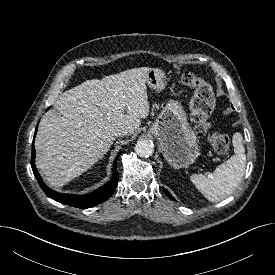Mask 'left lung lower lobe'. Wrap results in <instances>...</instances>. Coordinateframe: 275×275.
Wrapping results in <instances>:
<instances>
[{
  "label": "left lung lower lobe",
  "mask_w": 275,
  "mask_h": 275,
  "mask_svg": "<svg viewBox=\"0 0 275 275\" xmlns=\"http://www.w3.org/2000/svg\"><path fill=\"white\" fill-rule=\"evenodd\" d=\"M163 190H164V192L166 193L167 196H169L170 198L174 199V198L172 197V195H171L166 189L163 188Z\"/></svg>",
  "instance_id": "1"
}]
</instances>
